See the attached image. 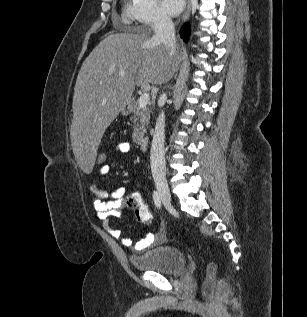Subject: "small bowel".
Wrapping results in <instances>:
<instances>
[{
    "label": "small bowel",
    "mask_w": 307,
    "mask_h": 317,
    "mask_svg": "<svg viewBox=\"0 0 307 317\" xmlns=\"http://www.w3.org/2000/svg\"><path fill=\"white\" fill-rule=\"evenodd\" d=\"M132 144L128 141L119 142L116 145V152L119 155L128 154L132 151ZM115 162L106 164L99 169V176H106ZM91 193L95 196L93 201L94 209L99 219L103 220L105 229L114 237L120 238L124 246L131 248L134 251H142L151 246L155 239V233H149L147 236L137 242H133L131 239L123 237L120 230L111 226L109 218L121 216V208L124 205V199L126 198V188L119 187L114 190H104L99 187L96 181H91L89 185Z\"/></svg>",
    "instance_id": "1"
}]
</instances>
